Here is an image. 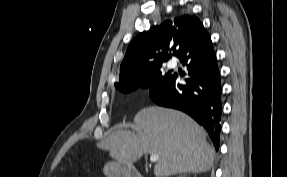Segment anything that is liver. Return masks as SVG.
<instances>
[{"label":"liver","instance_id":"liver-1","mask_svg":"<svg viewBox=\"0 0 287 177\" xmlns=\"http://www.w3.org/2000/svg\"><path fill=\"white\" fill-rule=\"evenodd\" d=\"M136 132L118 129L99 147L117 162L132 165L144 154H157L156 177L200 173L211 169L214 149L204 130L186 114L161 107H147L134 118Z\"/></svg>","mask_w":287,"mask_h":177}]
</instances>
